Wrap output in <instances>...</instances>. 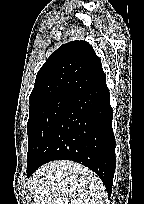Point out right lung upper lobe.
Segmentation results:
<instances>
[{
  "label": "right lung upper lobe",
  "mask_w": 144,
  "mask_h": 204,
  "mask_svg": "<svg viewBox=\"0 0 144 204\" xmlns=\"http://www.w3.org/2000/svg\"><path fill=\"white\" fill-rule=\"evenodd\" d=\"M106 81L100 58L86 41L63 44L38 71L30 106L60 94L77 96Z\"/></svg>",
  "instance_id": "right-lung-upper-lobe-1"
}]
</instances>
